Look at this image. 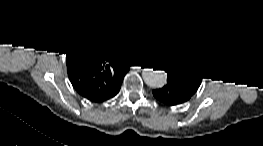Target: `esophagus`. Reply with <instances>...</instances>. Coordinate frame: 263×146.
Masks as SVG:
<instances>
[{
  "label": "esophagus",
  "mask_w": 263,
  "mask_h": 146,
  "mask_svg": "<svg viewBox=\"0 0 263 146\" xmlns=\"http://www.w3.org/2000/svg\"><path fill=\"white\" fill-rule=\"evenodd\" d=\"M133 69H134V70H137V71H140V70H141V65H140V63H136V64L133 66Z\"/></svg>",
  "instance_id": "1"
}]
</instances>
